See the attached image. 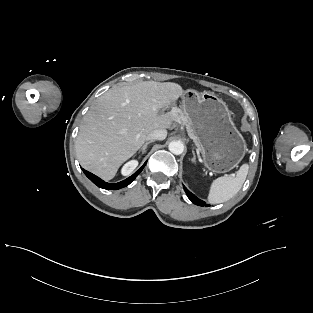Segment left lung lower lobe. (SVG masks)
<instances>
[{
    "label": "left lung lower lobe",
    "instance_id": "1",
    "mask_svg": "<svg viewBox=\"0 0 313 313\" xmlns=\"http://www.w3.org/2000/svg\"><path fill=\"white\" fill-rule=\"evenodd\" d=\"M186 195L188 196V198L196 205L198 206H209L206 205L204 201L200 200L199 198H197L193 193H191L185 186H183Z\"/></svg>",
    "mask_w": 313,
    "mask_h": 313
}]
</instances>
